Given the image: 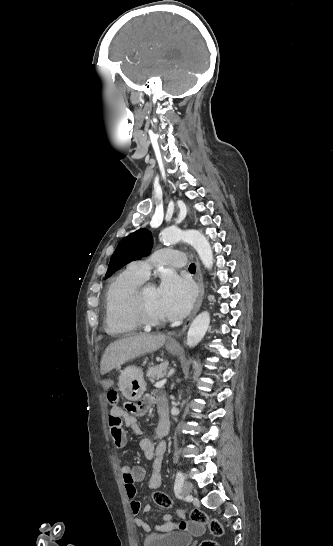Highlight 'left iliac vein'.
I'll use <instances>...</instances> for the list:
<instances>
[{
  "mask_svg": "<svg viewBox=\"0 0 333 546\" xmlns=\"http://www.w3.org/2000/svg\"><path fill=\"white\" fill-rule=\"evenodd\" d=\"M192 489H193V485L190 482L186 481L182 488V495L183 496L190 495L192 492Z\"/></svg>",
  "mask_w": 333,
  "mask_h": 546,
  "instance_id": "1",
  "label": "left iliac vein"
}]
</instances>
